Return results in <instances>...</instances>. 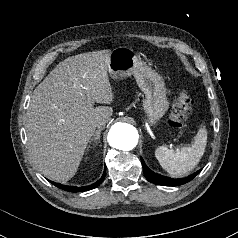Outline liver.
Listing matches in <instances>:
<instances>
[{
	"label": "liver",
	"instance_id": "1",
	"mask_svg": "<svg viewBox=\"0 0 238 238\" xmlns=\"http://www.w3.org/2000/svg\"><path fill=\"white\" fill-rule=\"evenodd\" d=\"M111 50L82 53L60 62L35 88L27 111V145L36 168L67 182L78 170L100 120H109L114 94L109 81Z\"/></svg>",
	"mask_w": 238,
	"mask_h": 238
}]
</instances>
